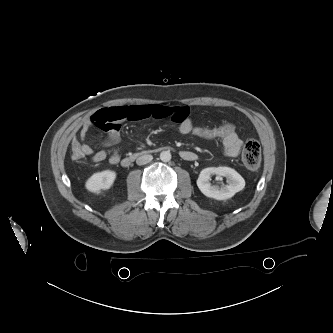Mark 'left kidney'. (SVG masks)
<instances>
[{
  "instance_id": "5707ae66",
  "label": "left kidney",
  "mask_w": 333,
  "mask_h": 333,
  "mask_svg": "<svg viewBox=\"0 0 333 333\" xmlns=\"http://www.w3.org/2000/svg\"><path fill=\"white\" fill-rule=\"evenodd\" d=\"M211 174L226 177L228 179V185L221 187L211 185ZM197 186L207 197L214 198L216 200H226L233 197L237 192L241 191L245 187V180L232 168L208 167L201 171L197 180Z\"/></svg>"
}]
</instances>
